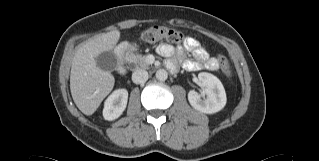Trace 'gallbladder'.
<instances>
[{
    "label": "gallbladder",
    "mask_w": 319,
    "mask_h": 161,
    "mask_svg": "<svg viewBox=\"0 0 319 161\" xmlns=\"http://www.w3.org/2000/svg\"><path fill=\"white\" fill-rule=\"evenodd\" d=\"M96 65L103 71H113L118 65L117 56L113 51H105L99 54L96 58Z\"/></svg>",
    "instance_id": "gallbladder-1"
}]
</instances>
